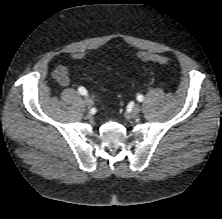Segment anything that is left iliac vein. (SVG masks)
<instances>
[{
    "instance_id": "4c4485c4",
    "label": "left iliac vein",
    "mask_w": 222,
    "mask_h": 219,
    "mask_svg": "<svg viewBox=\"0 0 222 219\" xmlns=\"http://www.w3.org/2000/svg\"><path fill=\"white\" fill-rule=\"evenodd\" d=\"M140 111H141L140 105L136 104L132 107V114L137 115L140 113Z\"/></svg>"
}]
</instances>
